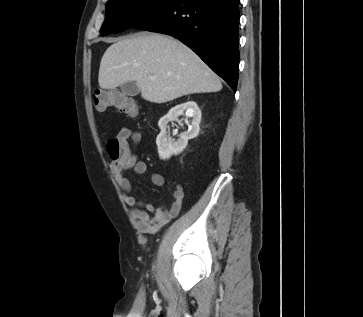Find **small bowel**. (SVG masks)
<instances>
[{"label":"small bowel","mask_w":363,"mask_h":317,"mask_svg":"<svg viewBox=\"0 0 363 317\" xmlns=\"http://www.w3.org/2000/svg\"><path fill=\"white\" fill-rule=\"evenodd\" d=\"M117 137L121 141L123 150L120 160L112 162V170L119 186L124 192V201L131 208L130 215L137 229L145 232H157L173 218L178 216L184 199L183 188L177 185L173 190V203L169 208L155 207L150 201L137 200L132 195L133 187L125 174L131 168L137 174H145L148 172L147 164L138 160L133 152V147L140 140V134L128 128H122ZM129 139H131V143ZM150 179L155 186H162L164 184V177L161 174L151 173Z\"/></svg>","instance_id":"small-bowel-1"}]
</instances>
